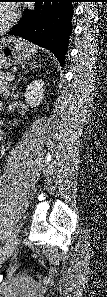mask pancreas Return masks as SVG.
<instances>
[{
	"label": "pancreas",
	"mask_w": 107,
	"mask_h": 297,
	"mask_svg": "<svg viewBox=\"0 0 107 297\" xmlns=\"http://www.w3.org/2000/svg\"><path fill=\"white\" fill-rule=\"evenodd\" d=\"M10 76H11V73H9V72H1L0 73V86H1V89L7 88V85L9 83L8 77H10Z\"/></svg>",
	"instance_id": "obj_1"
}]
</instances>
